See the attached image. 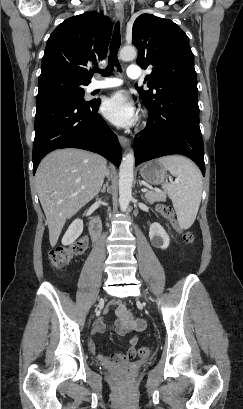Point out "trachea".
<instances>
[{
	"label": "trachea",
	"mask_w": 243,
	"mask_h": 409,
	"mask_svg": "<svg viewBox=\"0 0 243 409\" xmlns=\"http://www.w3.org/2000/svg\"><path fill=\"white\" fill-rule=\"evenodd\" d=\"M120 48V24L116 23L113 37L110 44V55L108 57V65L104 70L96 68L94 71L101 73L103 76H110L113 72L114 66L121 71V66L118 62L117 54Z\"/></svg>",
	"instance_id": "1"
}]
</instances>
